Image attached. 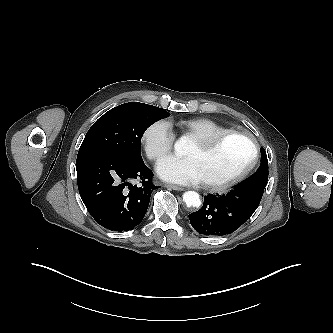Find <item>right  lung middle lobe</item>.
<instances>
[{
  "label": "right lung middle lobe",
  "instance_id": "1",
  "mask_svg": "<svg viewBox=\"0 0 333 333\" xmlns=\"http://www.w3.org/2000/svg\"><path fill=\"white\" fill-rule=\"evenodd\" d=\"M169 115L164 109L139 102L119 105L91 126L78 153L107 151L141 161L140 143L144 132Z\"/></svg>",
  "mask_w": 333,
  "mask_h": 333
}]
</instances>
